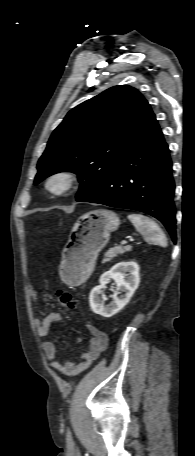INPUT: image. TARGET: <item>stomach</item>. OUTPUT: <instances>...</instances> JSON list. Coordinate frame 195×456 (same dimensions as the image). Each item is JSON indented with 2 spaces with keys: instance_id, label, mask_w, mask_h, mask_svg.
<instances>
[{
  "instance_id": "obj_1",
  "label": "stomach",
  "mask_w": 195,
  "mask_h": 456,
  "mask_svg": "<svg viewBox=\"0 0 195 456\" xmlns=\"http://www.w3.org/2000/svg\"><path fill=\"white\" fill-rule=\"evenodd\" d=\"M119 225L118 215L106 209L90 211L78 218L62 254L60 274L67 284L80 285L91 275L99 252Z\"/></svg>"
}]
</instances>
